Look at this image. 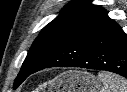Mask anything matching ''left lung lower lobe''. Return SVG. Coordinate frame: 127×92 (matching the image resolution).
Returning a JSON list of instances; mask_svg holds the SVG:
<instances>
[{"mask_svg":"<svg viewBox=\"0 0 127 92\" xmlns=\"http://www.w3.org/2000/svg\"><path fill=\"white\" fill-rule=\"evenodd\" d=\"M61 66L106 70L127 78V36L106 17L59 47L33 73Z\"/></svg>","mask_w":127,"mask_h":92,"instance_id":"obj_1","label":"left lung lower lobe"}]
</instances>
